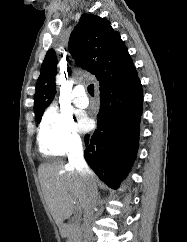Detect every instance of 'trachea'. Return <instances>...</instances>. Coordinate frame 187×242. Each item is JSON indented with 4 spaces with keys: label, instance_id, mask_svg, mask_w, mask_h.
I'll use <instances>...</instances> for the list:
<instances>
[{
    "label": "trachea",
    "instance_id": "3493384b",
    "mask_svg": "<svg viewBox=\"0 0 187 242\" xmlns=\"http://www.w3.org/2000/svg\"><path fill=\"white\" fill-rule=\"evenodd\" d=\"M88 93L91 95V96H94V84H90L88 86Z\"/></svg>",
    "mask_w": 187,
    "mask_h": 242
}]
</instances>
